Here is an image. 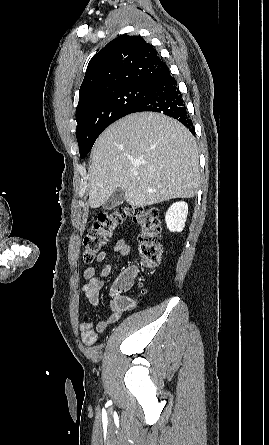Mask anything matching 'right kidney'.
<instances>
[{
  "instance_id": "obj_1",
  "label": "right kidney",
  "mask_w": 269,
  "mask_h": 445,
  "mask_svg": "<svg viewBox=\"0 0 269 445\" xmlns=\"http://www.w3.org/2000/svg\"><path fill=\"white\" fill-rule=\"evenodd\" d=\"M187 215V203L183 201L173 203L165 215L167 228L172 232H181L185 226Z\"/></svg>"
}]
</instances>
